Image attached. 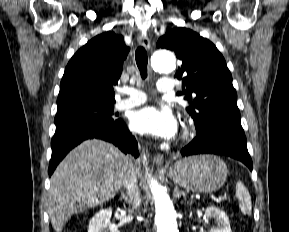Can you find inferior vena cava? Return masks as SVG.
Wrapping results in <instances>:
<instances>
[{"instance_id":"1","label":"inferior vena cava","mask_w":289,"mask_h":232,"mask_svg":"<svg viewBox=\"0 0 289 232\" xmlns=\"http://www.w3.org/2000/svg\"><path fill=\"white\" fill-rule=\"evenodd\" d=\"M123 185L126 189L132 208L137 209L141 205L142 199L137 185L136 170L132 165H130L124 172Z\"/></svg>"}]
</instances>
